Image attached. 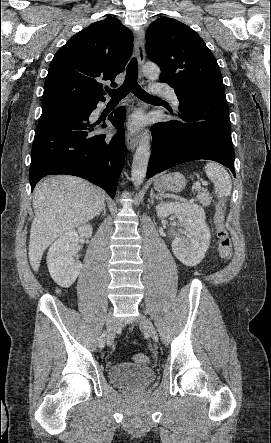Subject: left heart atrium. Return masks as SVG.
I'll use <instances>...</instances> for the list:
<instances>
[{"mask_svg": "<svg viewBox=\"0 0 271 443\" xmlns=\"http://www.w3.org/2000/svg\"><path fill=\"white\" fill-rule=\"evenodd\" d=\"M143 124V118L139 115H133L129 118V120L126 123V129L130 133H135L140 129V127Z\"/></svg>", "mask_w": 271, "mask_h": 443, "instance_id": "left-heart-atrium-1", "label": "left heart atrium"}]
</instances>
